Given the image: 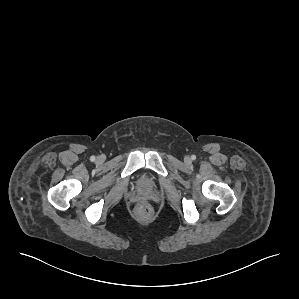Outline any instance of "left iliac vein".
<instances>
[{
	"mask_svg": "<svg viewBox=\"0 0 299 299\" xmlns=\"http://www.w3.org/2000/svg\"><path fill=\"white\" fill-rule=\"evenodd\" d=\"M186 162L189 163V162H190V159H189V158H186Z\"/></svg>",
	"mask_w": 299,
	"mask_h": 299,
	"instance_id": "left-iliac-vein-1",
	"label": "left iliac vein"
}]
</instances>
